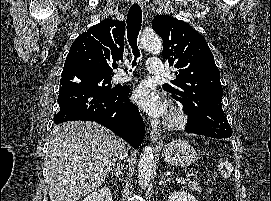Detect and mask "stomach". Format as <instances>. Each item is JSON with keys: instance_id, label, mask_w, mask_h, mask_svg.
<instances>
[{"instance_id": "obj_1", "label": "stomach", "mask_w": 271, "mask_h": 201, "mask_svg": "<svg viewBox=\"0 0 271 201\" xmlns=\"http://www.w3.org/2000/svg\"><path fill=\"white\" fill-rule=\"evenodd\" d=\"M162 157L173 166L186 167L197 158L195 149L185 140H174L163 147Z\"/></svg>"}]
</instances>
